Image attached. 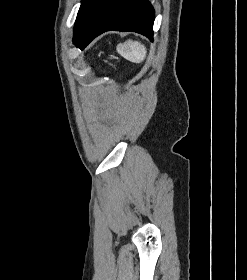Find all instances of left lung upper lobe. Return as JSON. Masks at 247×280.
<instances>
[{
	"instance_id": "left-lung-upper-lobe-1",
	"label": "left lung upper lobe",
	"mask_w": 247,
	"mask_h": 280,
	"mask_svg": "<svg viewBox=\"0 0 247 280\" xmlns=\"http://www.w3.org/2000/svg\"><path fill=\"white\" fill-rule=\"evenodd\" d=\"M101 0H82L74 26V36L79 32L87 16Z\"/></svg>"
}]
</instances>
